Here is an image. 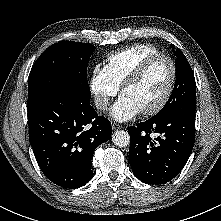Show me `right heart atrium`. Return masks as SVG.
Here are the masks:
<instances>
[{"instance_id":"1","label":"right heart atrium","mask_w":221,"mask_h":221,"mask_svg":"<svg viewBox=\"0 0 221 221\" xmlns=\"http://www.w3.org/2000/svg\"><path fill=\"white\" fill-rule=\"evenodd\" d=\"M89 87L94 97L97 109L105 110L118 92V86L113 81L106 66L96 64L91 71Z\"/></svg>"}]
</instances>
